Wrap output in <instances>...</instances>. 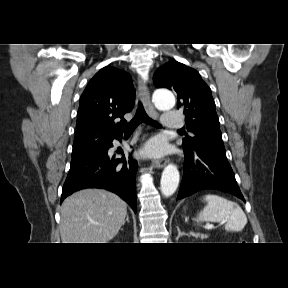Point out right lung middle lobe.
I'll return each mask as SVG.
<instances>
[{
	"mask_svg": "<svg viewBox=\"0 0 288 288\" xmlns=\"http://www.w3.org/2000/svg\"><path fill=\"white\" fill-rule=\"evenodd\" d=\"M89 152H86L84 150L73 151L72 152V160L77 159V158H79V157H81V156H83Z\"/></svg>",
	"mask_w": 288,
	"mask_h": 288,
	"instance_id": "right-lung-middle-lobe-1",
	"label": "right lung middle lobe"
}]
</instances>
